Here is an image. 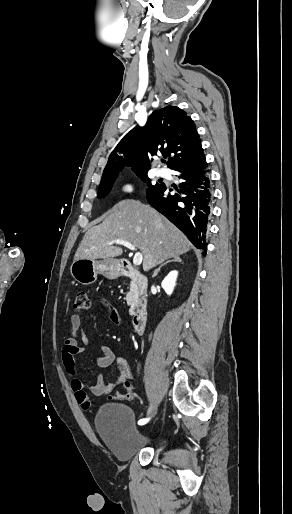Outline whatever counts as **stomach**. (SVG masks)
<instances>
[{
    "label": "stomach",
    "instance_id": "stomach-1",
    "mask_svg": "<svg viewBox=\"0 0 292 514\" xmlns=\"http://www.w3.org/2000/svg\"><path fill=\"white\" fill-rule=\"evenodd\" d=\"M70 272L76 282L89 286L96 282L98 274H102L108 280H116L121 276L123 268L120 260H114V258H104V260L80 258V260H74Z\"/></svg>",
    "mask_w": 292,
    "mask_h": 514
}]
</instances>
